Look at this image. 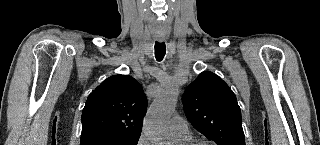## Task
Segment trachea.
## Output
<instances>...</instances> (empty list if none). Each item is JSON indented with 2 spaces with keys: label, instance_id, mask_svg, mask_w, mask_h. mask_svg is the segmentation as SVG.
<instances>
[{
  "label": "trachea",
  "instance_id": "obj_1",
  "mask_svg": "<svg viewBox=\"0 0 320 145\" xmlns=\"http://www.w3.org/2000/svg\"><path fill=\"white\" fill-rule=\"evenodd\" d=\"M166 53V46L164 42H155V58L157 61H161Z\"/></svg>",
  "mask_w": 320,
  "mask_h": 145
}]
</instances>
